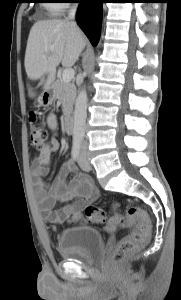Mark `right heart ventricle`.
<instances>
[{
    "label": "right heart ventricle",
    "instance_id": "1",
    "mask_svg": "<svg viewBox=\"0 0 181 300\" xmlns=\"http://www.w3.org/2000/svg\"><path fill=\"white\" fill-rule=\"evenodd\" d=\"M46 7L49 13L54 16L59 15L62 12L60 5L57 3L46 4Z\"/></svg>",
    "mask_w": 181,
    "mask_h": 300
}]
</instances>
